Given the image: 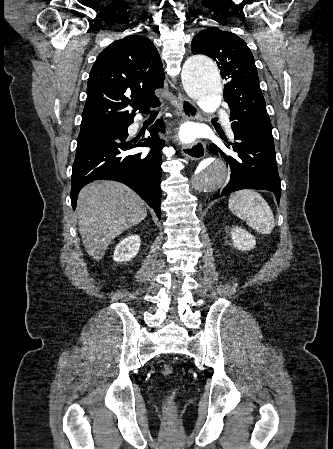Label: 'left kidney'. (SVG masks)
Instances as JSON below:
<instances>
[{"instance_id": "1", "label": "left kidney", "mask_w": 333, "mask_h": 449, "mask_svg": "<svg viewBox=\"0 0 333 449\" xmlns=\"http://www.w3.org/2000/svg\"><path fill=\"white\" fill-rule=\"evenodd\" d=\"M231 238L233 246L238 250L248 251L256 245L254 236L238 226L231 229Z\"/></svg>"}]
</instances>
